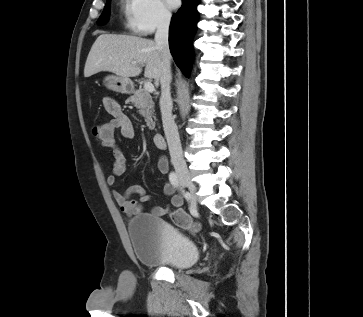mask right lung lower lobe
<instances>
[{"mask_svg": "<svg viewBox=\"0 0 363 317\" xmlns=\"http://www.w3.org/2000/svg\"><path fill=\"white\" fill-rule=\"evenodd\" d=\"M199 0H182V7L173 16L169 31V46L177 66L185 76L192 57L191 42L197 22Z\"/></svg>", "mask_w": 363, "mask_h": 317, "instance_id": "obj_1", "label": "right lung lower lobe"}]
</instances>
